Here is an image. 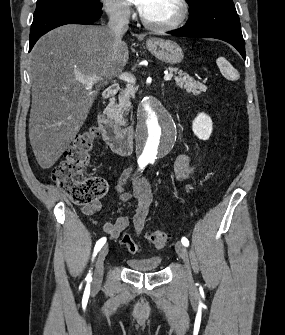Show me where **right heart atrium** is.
Returning a JSON list of instances; mask_svg holds the SVG:
<instances>
[{
    "mask_svg": "<svg viewBox=\"0 0 285 335\" xmlns=\"http://www.w3.org/2000/svg\"><path fill=\"white\" fill-rule=\"evenodd\" d=\"M103 6L108 18L116 23L128 22L134 13L131 1H104Z\"/></svg>",
    "mask_w": 285,
    "mask_h": 335,
    "instance_id": "d8ad5b80",
    "label": "right heart atrium"
}]
</instances>
